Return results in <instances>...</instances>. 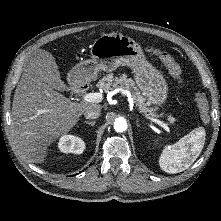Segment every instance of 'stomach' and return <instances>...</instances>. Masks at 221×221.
<instances>
[{"label":"stomach","instance_id":"1","mask_svg":"<svg viewBox=\"0 0 221 221\" xmlns=\"http://www.w3.org/2000/svg\"><path fill=\"white\" fill-rule=\"evenodd\" d=\"M92 59L84 60L70 71L74 83L89 82L100 70L112 72L119 66L133 70L138 88L145 95L147 105L154 110L162 106L168 97L167 82L162 73L149 63L140 45L132 38L119 33L104 34L91 46Z\"/></svg>","mask_w":221,"mask_h":221}]
</instances>
